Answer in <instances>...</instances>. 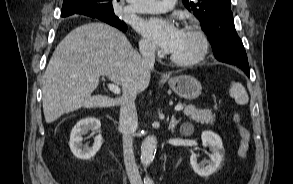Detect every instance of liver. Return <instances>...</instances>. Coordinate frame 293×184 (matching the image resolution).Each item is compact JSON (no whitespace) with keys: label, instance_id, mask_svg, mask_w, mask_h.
Here are the masks:
<instances>
[{"label":"liver","instance_id":"1","mask_svg":"<svg viewBox=\"0 0 293 184\" xmlns=\"http://www.w3.org/2000/svg\"><path fill=\"white\" fill-rule=\"evenodd\" d=\"M152 67L118 29L101 22L81 25L56 47L42 80L46 123L84 108H104L121 103L127 93H140L150 82ZM100 76L122 86V98L93 95Z\"/></svg>","mask_w":293,"mask_h":184}]
</instances>
